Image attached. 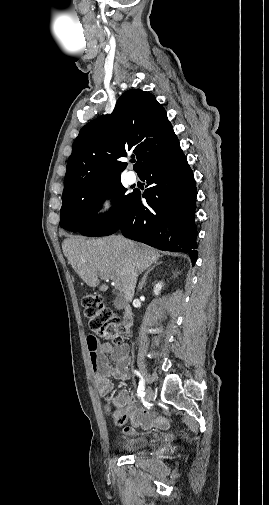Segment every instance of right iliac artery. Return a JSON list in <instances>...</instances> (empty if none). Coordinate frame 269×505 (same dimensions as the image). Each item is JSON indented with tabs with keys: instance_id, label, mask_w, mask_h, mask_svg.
<instances>
[{
	"instance_id": "right-iliac-artery-1",
	"label": "right iliac artery",
	"mask_w": 269,
	"mask_h": 505,
	"mask_svg": "<svg viewBox=\"0 0 269 505\" xmlns=\"http://www.w3.org/2000/svg\"><path fill=\"white\" fill-rule=\"evenodd\" d=\"M134 373L137 376L141 377V380H140L139 386H138V390H137V396L138 397H144V395H145L144 380H143L141 374L138 371L134 370Z\"/></svg>"
}]
</instances>
